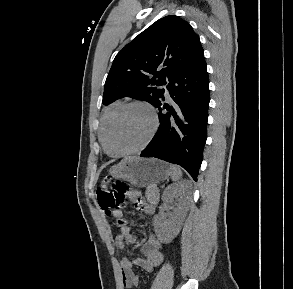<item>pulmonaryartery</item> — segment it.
Returning <instances> with one entry per match:
<instances>
[{
    "label": "pulmonary artery",
    "mask_w": 293,
    "mask_h": 289,
    "mask_svg": "<svg viewBox=\"0 0 293 289\" xmlns=\"http://www.w3.org/2000/svg\"><path fill=\"white\" fill-rule=\"evenodd\" d=\"M164 89H165V94H166V96H168V95H169V92H168L166 86L164 87Z\"/></svg>",
    "instance_id": "e3ab8cb5"
}]
</instances>
